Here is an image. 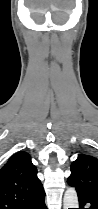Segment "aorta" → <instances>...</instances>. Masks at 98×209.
<instances>
[{
  "label": "aorta",
  "mask_w": 98,
  "mask_h": 209,
  "mask_svg": "<svg viewBox=\"0 0 98 209\" xmlns=\"http://www.w3.org/2000/svg\"><path fill=\"white\" fill-rule=\"evenodd\" d=\"M64 209L68 208H78V197L76 190L74 188H68L64 194L63 198Z\"/></svg>",
  "instance_id": "762f6f07"
}]
</instances>
